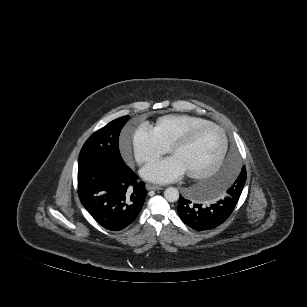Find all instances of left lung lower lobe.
Returning <instances> with one entry per match:
<instances>
[{
  "label": "left lung lower lobe",
  "mask_w": 307,
  "mask_h": 307,
  "mask_svg": "<svg viewBox=\"0 0 307 307\" xmlns=\"http://www.w3.org/2000/svg\"><path fill=\"white\" fill-rule=\"evenodd\" d=\"M241 173V172H240ZM239 197L227 194L210 206L192 203L180 195L178 214L189 227L197 230H210L225 222L232 214Z\"/></svg>",
  "instance_id": "0a47b994"
}]
</instances>
